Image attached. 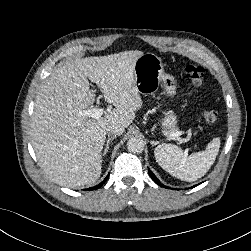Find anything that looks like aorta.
I'll return each mask as SVG.
<instances>
[{"instance_id":"762f6f07","label":"aorta","mask_w":251,"mask_h":251,"mask_svg":"<svg viewBox=\"0 0 251 251\" xmlns=\"http://www.w3.org/2000/svg\"><path fill=\"white\" fill-rule=\"evenodd\" d=\"M127 149L132 153H141L144 149V141L139 137H131L127 141Z\"/></svg>"}]
</instances>
